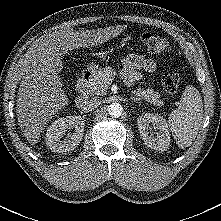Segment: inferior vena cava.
Segmentation results:
<instances>
[{"label":"inferior vena cava","mask_w":221,"mask_h":221,"mask_svg":"<svg viewBox=\"0 0 221 221\" xmlns=\"http://www.w3.org/2000/svg\"><path fill=\"white\" fill-rule=\"evenodd\" d=\"M101 104V100L98 98H92L89 101H85L82 105V110L84 112H91L95 110Z\"/></svg>","instance_id":"obj_1"}]
</instances>
